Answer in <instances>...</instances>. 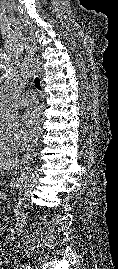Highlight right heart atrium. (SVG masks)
Wrapping results in <instances>:
<instances>
[{
  "mask_svg": "<svg viewBox=\"0 0 118 269\" xmlns=\"http://www.w3.org/2000/svg\"><path fill=\"white\" fill-rule=\"evenodd\" d=\"M30 137L17 122L5 123L0 119V144L16 149L28 145Z\"/></svg>",
  "mask_w": 118,
  "mask_h": 269,
  "instance_id": "right-heart-atrium-1",
  "label": "right heart atrium"
}]
</instances>
